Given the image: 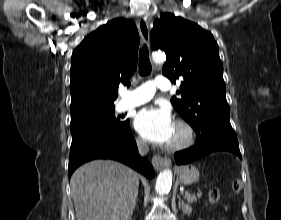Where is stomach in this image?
I'll return each mask as SVG.
<instances>
[{
  "label": "stomach",
  "instance_id": "1",
  "mask_svg": "<svg viewBox=\"0 0 281 220\" xmlns=\"http://www.w3.org/2000/svg\"><path fill=\"white\" fill-rule=\"evenodd\" d=\"M179 180L184 185H191L199 180V170L193 165L181 166L177 169Z\"/></svg>",
  "mask_w": 281,
  "mask_h": 220
}]
</instances>
